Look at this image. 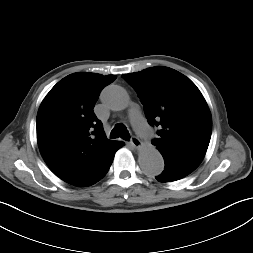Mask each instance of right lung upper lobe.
<instances>
[{"label": "right lung upper lobe", "mask_w": 253, "mask_h": 253, "mask_svg": "<svg viewBox=\"0 0 253 253\" xmlns=\"http://www.w3.org/2000/svg\"><path fill=\"white\" fill-rule=\"evenodd\" d=\"M115 75L73 73L46 95L37 114V142L49 168L74 186L92 185L105 176L108 140L93 112L101 90Z\"/></svg>", "instance_id": "1"}]
</instances>
